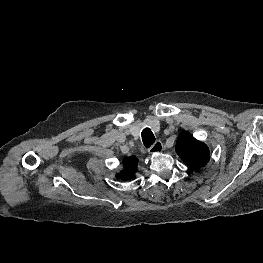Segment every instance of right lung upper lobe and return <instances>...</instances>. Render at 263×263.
Returning <instances> with one entry per match:
<instances>
[{
	"label": "right lung upper lobe",
	"instance_id": "obj_1",
	"mask_svg": "<svg viewBox=\"0 0 263 263\" xmlns=\"http://www.w3.org/2000/svg\"><path fill=\"white\" fill-rule=\"evenodd\" d=\"M122 163H123L124 169L123 171L118 173L116 177L124 181L134 178L135 177L134 173L137 169L138 159L134 156H131V157L125 158Z\"/></svg>",
	"mask_w": 263,
	"mask_h": 263
}]
</instances>
